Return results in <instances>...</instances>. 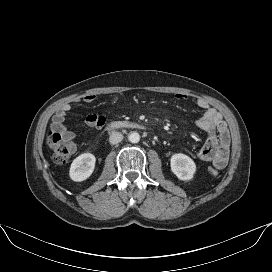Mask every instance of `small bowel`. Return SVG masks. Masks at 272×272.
<instances>
[{
    "label": "small bowel",
    "instance_id": "1",
    "mask_svg": "<svg viewBox=\"0 0 272 272\" xmlns=\"http://www.w3.org/2000/svg\"><path fill=\"white\" fill-rule=\"evenodd\" d=\"M175 98L179 101L187 100L185 94H176ZM96 96L94 94L86 95L83 101L91 103L95 101ZM80 99H75L74 102H79ZM199 107L204 109L203 115L195 121V125L207 133V139L204 145L197 151V157L201 161L212 162L213 166L217 169H223L229 158V146H230V133L228 127L221 114L205 100H198ZM71 110L69 103L63 104L52 120V128L54 131L60 133L66 139H73L75 137L74 132L66 127L65 120L67 113ZM86 123L93 128L99 129L104 123L105 119L101 115L89 114L86 116Z\"/></svg>",
    "mask_w": 272,
    "mask_h": 272
}]
</instances>
